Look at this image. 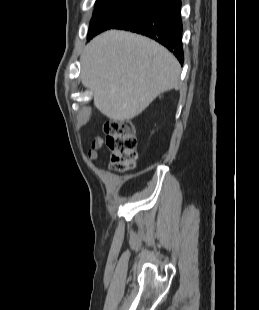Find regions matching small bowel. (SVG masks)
Masks as SVG:
<instances>
[{"instance_id": "1", "label": "small bowel", "mask_w": 259, "mask_h": 310, "mask_svg": "<svg viewBox=\"0 0 259 310\" xmlns=\"http://www.w3.org/2000/svg\"><path fill=\"white\" fill-rule=\"evenodd\" d=\"M104 146V140L102 137L94 138L91 149L88 151V158L91 161H96L99 158V150Z\"/></svg>"}]
</instances>
